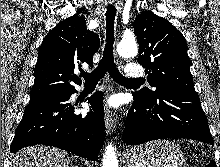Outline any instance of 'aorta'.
I'll list each match as a JSON object with an SVG mask.
<instances>
[{"label": "aorta", "mask_w": 220, "mask_h": 167, "mask_svg": "<svg viewBox=\"0 0 220 167\" xmlns=\"http://www.w3.org/2000/svg\"><path fill=\"white\" fill-rule=\"evenodd\" d=\"M117 52L124 58L137 55L138 48L134 38H123L117 45ZM102 167H118L116 148L110 143L105 148Z\"/></svg>", "instance_id": "obj_1"}]
</instances>
